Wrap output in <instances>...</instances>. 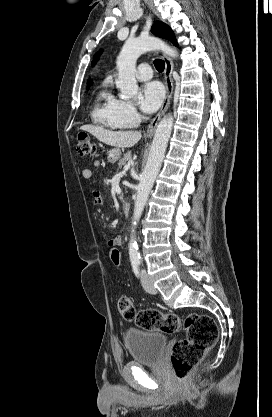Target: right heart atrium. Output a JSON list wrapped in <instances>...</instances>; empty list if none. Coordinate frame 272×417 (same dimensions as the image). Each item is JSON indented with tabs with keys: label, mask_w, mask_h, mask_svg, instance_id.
I'll use <instances>...</instances> for the list:
<instances>
[{
	"label": "right heart atrium",
	"mask_w": 272,
	"mask_h": 417,
	"mask_svg": "<svg viewBox=\"0 0 272 417\" xmlns=\"http://www.w3.org/2000/svg\"><path fill=\"white\" fill-rule=\"evenodd\" d=\"M118 111L120 117L130 126L137 124L140 120V114L132 104L119 101Z\"/></svg>",
	"instance_id": "d8ad5b80"
}]
</instances>
